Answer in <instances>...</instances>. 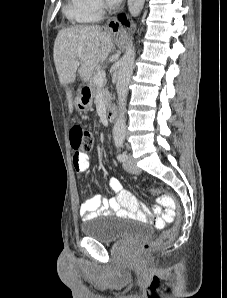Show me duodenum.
<instances>
[{"label":"duodenum","mask_w":227,"mask_h":298,"mask_svg":"<svg viewBox=\"0 0 227 298\" xmlns=\"http://www.w3.org/2000/svg\"><path fill=\"white\" fill-rule=\"evenodd\" d=\"M85 93L90 95L91 94V89L89 87L85 88ZM117 116V108L115 106H109L106 112V118L108 122H114Z\"/></svg>","instance_id":"1"}]
</instances>
